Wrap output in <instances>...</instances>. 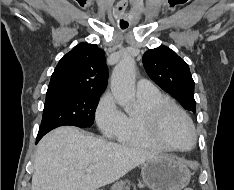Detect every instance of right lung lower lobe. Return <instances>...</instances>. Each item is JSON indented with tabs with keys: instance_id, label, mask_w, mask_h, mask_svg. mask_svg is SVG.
Instances as JSON below:
<instances>
[{
	"instance_id": "right-lung-lower-lobe-1",
	"label": "right lung lower lobe",
	"mask_w": 234,
	"mask_h": 190,
	"mask_svg": "<svg viewBox=\"0 0 234 190\" xmlns=\"http://www.w3.org/2000/svg\"><path fill=\"white\" fill-rule=\"evenodd\" d=\"M44 135H38L36 139V143L43 137Z\"/></svg>"
}]
</instances>
